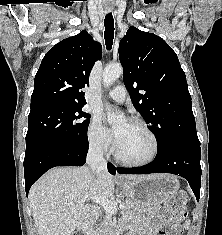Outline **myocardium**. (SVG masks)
Instances as JSON below:
<instances>
[{
	"instance_id": "1",
	"label": "myocardium",
	"mask_w": 222,
	"mask_h": 235,
	"mask_svg": "<svg viewBox=\"0 0 222 235\" xmlns=\"http://www.w3.org/2000/svg\"><path fill=\"white\" fill-rule=\"evenodd\" d=\"M130 123L137 126V127H139V128H141V129H143L144 131H146L150 135V137L152 138L153 143H154L153 153L146 160L132 161V160H128V159L124 158L121 155V153L119 152L118 145H116V147H115V157L119 162H121L125 165H129V166L139 167V166L148 165V164L152 163L159 155L160 142H159L158 136L145 122H143L141 120L133 119V120L130 121Z\"/></svg>"
}]
</instances>
